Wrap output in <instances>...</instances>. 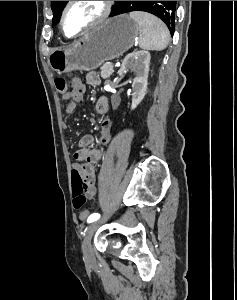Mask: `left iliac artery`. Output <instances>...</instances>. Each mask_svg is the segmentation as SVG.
<instances>
[{
  "label": "left iliac artery",
  "mask_w": 237,
  "mask_h": 300,
  "mask_svg": "<svg viewBox=\"0 0 237 300\" xmlns=\"http://www.w3.org/2000/svg\"><path fill=\"white\" fill-rule=\"evenodd\" d=\"M99 218H100V214H98V213H93V214H91V215L88 217L87 222H88V223H91V222H94V221L98 220Z\"/></svg>",
  "instance_id": "1"
}]
</instances>
